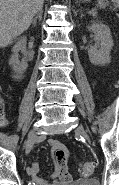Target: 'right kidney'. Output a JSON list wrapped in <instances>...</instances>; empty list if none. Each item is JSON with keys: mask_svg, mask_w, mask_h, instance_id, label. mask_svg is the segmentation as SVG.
I'll list each match as a JSON object with an SVG mask.
<instances>
[{"mask_svg": "<svg viewBox=\"0 0 119 185\" xmlns=\"http://www.w3.org/2000/svg\"><path fill=\"white\" fill-rule=\"evenodd\" d=\"M26 37H21L18 42L14 45L12 52L13 54L11 55L9 59V64L12 66V69L15 73L13 78L15 80H21L23 79V74L26 71L28 64L25 61L20 62L18 59V52L23 49L26 46Z\"/></svg>", "mask_w": 119, "mask_h": 185, "instance_id": "1", "label": "right kidney"}]
</instances>
